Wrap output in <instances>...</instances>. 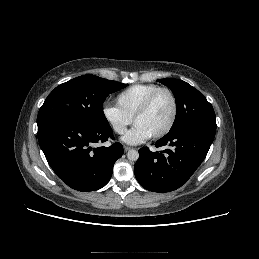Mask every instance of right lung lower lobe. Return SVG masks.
Masks as SVG:
<instances>
[{
  "mask_svg": "<svg viewBox=\"0 0 259 259\" xmlns=\"http://www.w3.org/2000/svg\"><path fill=\"white\" fill-rule=\"evenodd\" d=\"M114 139L112 129L73 119H57L38 127L40 147L53 171L71 188L87 192L104 187L123 146H92Z\"/></svg>",
  "mask_w": 259,
  "mask_h": 259,
  "instance_id": "98d812e1",
  "label": "right lung lower lobe"
}]
</instances>
